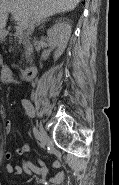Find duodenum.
I'll list each match as a JSON object with an SVG mask.
<instances>
[{
	"instance_id": "410a0bca",
	"label": "duodenum",
	"mask_w": 119,
	"mask_h": 185,
	"mask_svg": "<svg viewBox=\"0 0 119 185\" xmlns=\"http://www.w3.org/2000/svg\"><path fill=\"white\" fill-rule=\"evenodd\" d=\"M38 72V68L35 65L29 66L23 70V78L26 81L32 80Z\"/></svg>"
}]
</instances>
